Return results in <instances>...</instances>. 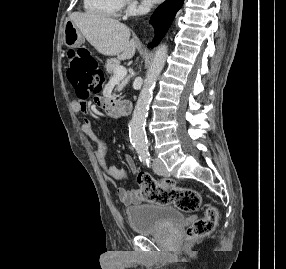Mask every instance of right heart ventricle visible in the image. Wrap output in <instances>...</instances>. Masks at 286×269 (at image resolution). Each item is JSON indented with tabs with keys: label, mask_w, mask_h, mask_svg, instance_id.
I'll use <instances>...</instances> for the list:
<instances>
[{
	"label": "right heart ventricle",
	"mask_w": 286,
	"mask_h": 269,
	"mask_svg": "<svg viewBox=\"0 0 286 269\" xmlns=\"http://www.w3.org/2000/svg\"><path fill=\"white\" fill-rule=\"evenodd\" d=\"M125 0H83L84 10L95 17L117 18L124 6Z\"/></svg>",
	"instance_id": "obj_1"
}]
</instances>
